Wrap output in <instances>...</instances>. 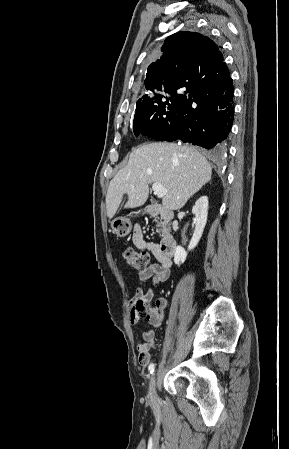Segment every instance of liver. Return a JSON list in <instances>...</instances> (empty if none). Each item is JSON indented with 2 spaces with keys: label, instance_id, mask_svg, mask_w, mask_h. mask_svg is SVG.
Returning a JSON list of instances; mask_svg holds the SVG:
<instances>
[{
  "label": "liver",
  "instance_id": "liver-1",
  "mask_svg": "<svg viewBox=\"0 0 289 449\" xmlns=\"http://www.w3.org/2000/svg\"><path fill=\"white\" fill-rule=\"evenodd\" d=\"M212 176V167L194 147L175 143H149L135 149L127 165L111 180L106 195L107 216L112 218L125 194V208L142 206L149 184L161 183L167 193L162 205L179 210Z\"/></svg>",
  "mask_w": 289,
  "mask_h": 449
}]
</instances>
